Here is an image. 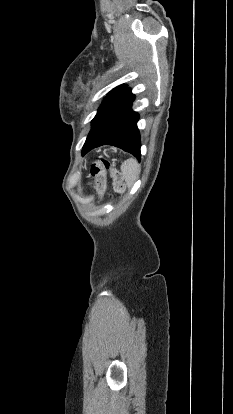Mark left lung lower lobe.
Instances as JSON below:
<instances>
[{
    "instance_id": "1",
    "label": "left lung lower lobe",
    "mask_w": 233,
    "mask_h": 414,
    "mask_svg": "<svg viewBox=\"0 0 233 414\" xmlns=\"http://www.w3.org/2000/svg\"><path fill=\"white\" fill-rule=\"evenodd\" d=\"M134 95L129 88L108 95L94 119L83 146L82 154L101 145H113L140 160V134L137 128L138 113L132 110Z\"/></svg>"
}]
</instances>
